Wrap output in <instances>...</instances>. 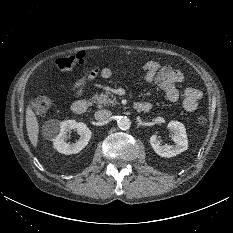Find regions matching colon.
<instances>
[{"label":"colon","instance_id":"5ec220e1","mask_svg":"<svg viewBox=\"0 0 233 233\" xmlns=\"http://www.w3.org/2000/svg\"><path fill=\"white\" fill-rule=\"evenodd\" d=\"M86 62V55L83 52H79L76 55L62 57L55 61V65L59 70H69L76 65H83ZM52 106V100L47 96H41L34 99L31 102L32 109L37 114H45L47 113ZM208 122L207 117L199 116L198 123L200 125H206Z\"/></svg>","mask_w":233,"mask_h":233}]
</instances>
